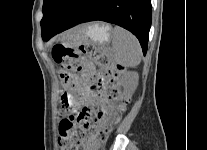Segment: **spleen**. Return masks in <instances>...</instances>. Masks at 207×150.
<instances>
[{
  "mask_svg": "<svg viewBox=\"0 0 207 150\" xmlns=\"http://www.w3.org/2000/svg\"><path fill=\"white\" fill-rule=\"evenodd\" d=\"M112 46L117 64L126 68H134L140 64L142 50L139 41L124 28L114 27Z\"/></svg>",
  "mask_w": 207,
  "mask_h": 150,
  "instance_id": "1",
  "label": "spleen"
}]
</instances>
